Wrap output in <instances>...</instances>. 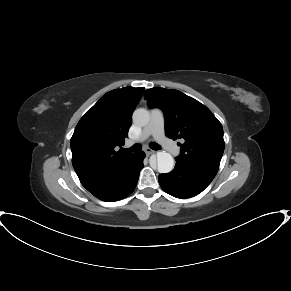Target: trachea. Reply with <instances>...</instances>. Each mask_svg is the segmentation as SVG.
Here are the masks:
<instances>
[{"mask_svg": "<svg viewBox=\"0 0 291 291\" xmlns=\"http://www.w3.org/2000/svg\"><path fill=\"white\" fill-rule=\"evenodd\" d=\"M150 148L153 149V150H160L161 146L159 144H157L156 142H151L150 143ZM141 149H142V146L139 145V144H136V145H133L130 148H124L123 150L125 152H137V151H139Z\"/></svg>", "mask_w": 291, "mask_h": 291, "instance_id": "3493384b", "label": "trachea"}]
</instances>
